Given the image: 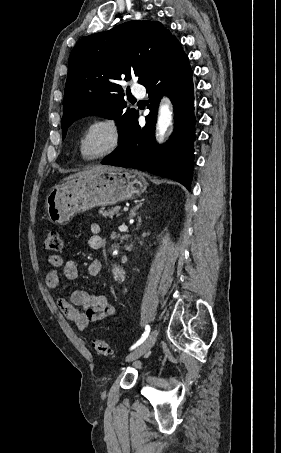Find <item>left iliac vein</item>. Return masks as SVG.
<instances>
[{"label": "left iliac vein", "mask_w": 281, "mask_h": 453, "mask_svg": "<svg viewBox=\"0 0 281 453\" xmlns=\"http://www.w3.org/2000/svg\"><path fill=\"white\" fill-rule=\"evenodd\" d=\"M157 335L158 332L156 330H153L149 337L146 339V341H144L143 344H141V346H138L136 351H132L131 354L127 355L125 359L128 362H133L134 359L138 358V356H142L143 353H148V349L155 344V341L158 338Z\"/></svg>", "instance_id": "obj_1"}]
</instances>
